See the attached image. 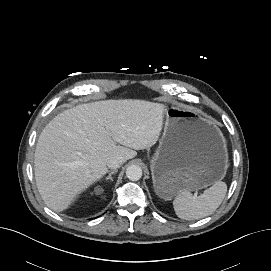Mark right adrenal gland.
<instances>
[{
  "mask_svg": "<svg viewBox=\"0 0 271 271\" xmlns=\"http://www.w3.org/2000/svg\"><path fill=\"white\" fill-rule=\"evenodd\" d=\"M116 172H117V169L111 171V172L109 173V175L105 178V180H106V181H107V180L113 181L112 175L115 174Z\"/></svg>",
  "mask_w": 271,
  "mask_h": 271,
  "instance_id": "right-adrenal-gland-1",
  "label": "right adrenal gland"
}]
</instances>
